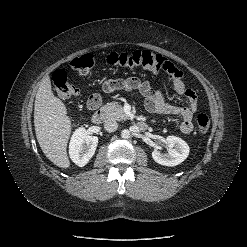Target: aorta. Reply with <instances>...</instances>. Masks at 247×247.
Returning <instances> with one entry per match:
<instances>
[{
    "label": "aorta",
    "mask_w": 247,
    "mask_h": 247,
    "mask_svg": "<svg viewBox=\"0 0 247 247\" xmlns=\"http://www.w3.org/2000/svg\"><path fill=\"white\" fill-rule=\"evenodd\" d=\"M130 135H131V133H130V131L128 129H124V130L121 131V137L123 139L130 138Z\"/></svg>",
    "instance_id": "1"
}]
</instances>
